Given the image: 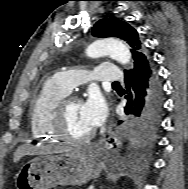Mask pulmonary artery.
Returning a JSON list of instances; mask_svg holds the SVG:
<instances>
[{"mask_svg":"<svg viewBox=\"0 0 188 189\" xmlns=\"http://www.w3.org/2000/svg\"><path fill=\"white\" fill-rule=\"evenodd\" d=\"M122 73L114 64H100L93 70H63L54 79L68 91L91 80L96 82H116L122 80Z\"/></svg>","mask_w":188,"mask_h":189,"instance_id":"e3ab8cb5","label":"pulmonary artery"}]
</instances>
